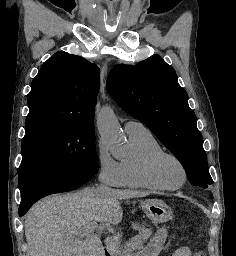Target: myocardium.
Listing matches in <instances>:
<instances>
[{
  "mask_svg": "<svg viewBox=\"0 0 236 256\" xmlns=\"http://www.w3.org/2000/svg\"><path fill=\"white\" fill-rule=\"evenodd\" d=\"M165 158H171L177 162L183 170V181L178 185H168L165 183L158 174V167L161 161ZM144 176L149 184L154 188L161 190H176L181 188L188 180V170L184 162L174 153L161 151L155 154L150 155L144 164Z\"/></svg>",
  "mask_w": 236,
  "mask_h": 256,
  "instance_id": "1",
  "label": "myocardium"
}]
</instances>
